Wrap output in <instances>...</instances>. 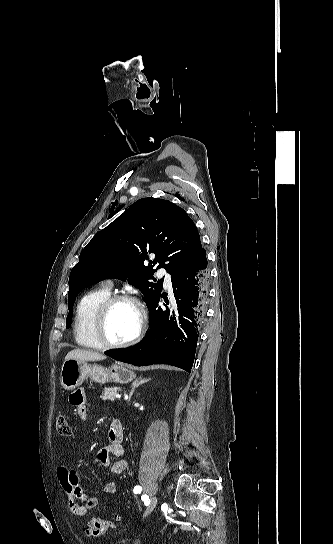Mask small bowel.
I'll return each mask as SVG.
<instances>
[{"instance_id": "c3829d8e", "label": "small bowel", "mask_w": 333, "mask_h": 544, "mask_svg": "<svg viewBox=\"0 0 333 544\" xmlns=\"http://www.w3.org/2000/svg\"><path fill=\"white\" fill-rule=\"evenodd\" d=\"M69 402L75 407L78 417L81 420H86L87 413V398L82 389L74 391L69 396ZM109 444L102 448L97 454L98 463L114 474H121L127 468L126 460L122 459L125 455L123 445V430L121 423L118 420H112L109 427ZM112 458H117L112 460ZM57 477L59 483L68 497V506L70 511L77 516H84L87 510L93 509L98 505L96 497L88 496L82 487L79 485V478L76 471L69 469L65 465H61L57 469ZM117 485L114 482H109L104 486V493L112 495L116 492Z\"/></svg>"}]
</instances>
